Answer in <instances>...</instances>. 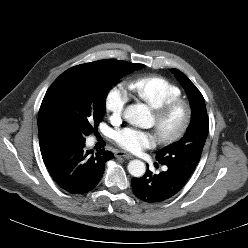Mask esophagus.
<instances>
[{
    "label": "esophagus",
    "instance_id": "34e87169",
    "mask_svg": "<svg viewBox=\"0 0 248 248\" xmlns=\"http://www.w3.org/2000/svg\"><path fill=\"white\" fill-rule=\"evenodd\" d=\"M115 156L116 157H123L125 159H132L133 158V156L131 154L124 152V151H117L115 153Z\"/></svg>",
    "mask_w": 248,
    "mask_h": 248
}]
</instances>
